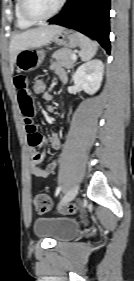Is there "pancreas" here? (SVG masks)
I'll return each mask as SVG.
<instances>
[{
	"instance_id": "pancreas-1",
	"label": "pancreas",
	"mask_w": 134,
	"mask_h": 281,
	"mask_svg": "<svg viewBox=\"0 0 134 281\" xmlns=\"http://www.w3.org/2000/svg\"><path fill=\"white\" fill-rule=\"evenodd\" d=\"M73 54L74 52L71 49L62 48L57 50L52 55V58L58 62L59 66L69 69L72 68L75 64V60L72 59Z\"/></svg>"
}]
</instances>
